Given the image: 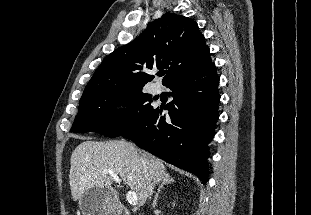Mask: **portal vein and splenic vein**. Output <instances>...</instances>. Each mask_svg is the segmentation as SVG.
<instances>
[{"instance_id":"1","label":"portal vein and splenic vein","mask_w":311,"mask_h":215,"mask_svg":"<svg viewBox=\"0 0 311 215\" xmlns=\"http://www.w3.org/2000/svg\"><path fill=\"white\" fill-rule=\"evenodd\" d=\"M103 173H104V174H109V176L112 177V179H113L116 183H118V184L121 183V179L118 177V175H117L115 172H113V171H111V170L104 169V170H103ZM126 199H127L128 203H129L130 205L135 206V205H137V203H138V201H137V195H136V193L133 192V191H128V192H127V194H126Z\"/></svg>"}]
</instances>
